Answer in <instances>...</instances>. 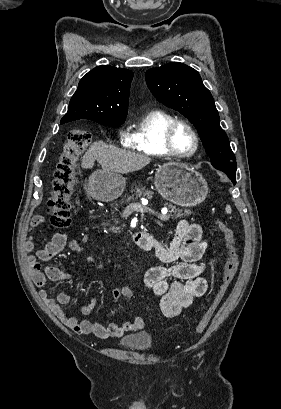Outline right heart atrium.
Masks as SVG:
<instances>
[{
	"label": "right heart atrium",
	"instance_id": "d8ad5b80",
	"mask_svg": "<svg viewBox=\"0 0 281 409\" xmlns=\"http://www.w3.org/2000/svg\"><path fill=\"white\" fill-rule=\"evenodd\" d=\"M118 137H119V139L122 141V142H126L127 141V139H128V135H127V133L123 130V129H120L119 131H118Z\"/></svg>",
	"mask_w": 281,
	"mask_h": 409
}]
</instances>
